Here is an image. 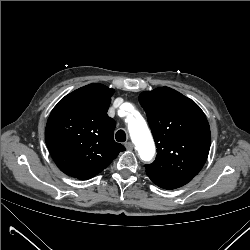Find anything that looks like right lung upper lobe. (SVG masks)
<instances>
[{
    "mask_svg": "<svg viewBox=\"0 0 250 250\" xmlns=\"http://www.w3.org/2000/svg\"><path fill=\"white\" fill-rule=\"evenodd\" d=\"M114 89L93 83L66 95L52 110L45 129L49 152L68 176L86 180L105 169L125 147L116 143L107 115Z\"/></svg>",
    "mask_w": 250,
    "mask_h": 250,
    "instance_id": "obj_1",
    "label": "right lung upper lobe"
}]
</instances>
